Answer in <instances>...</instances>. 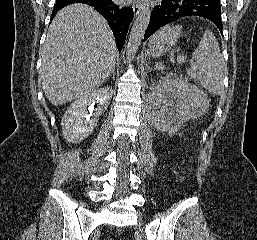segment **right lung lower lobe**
I'll list each match as a JSON object with an SVG mask.
<instances>
[{"mask_svg": "<svg viewBox=\"0 0 257 240\" xmlns=\"http://www.w3.org/2000/svg\"><path fill=\"white\" fill-rule=\"evenodd\" d=\"M73 3L93 6L109 23L119 52L121 51L129 25L134 17L131 7L121 6L113 0H57L52 11V18L63 7Z\"/></svg>", "mask_w": 257, "mask_h": 240, "instance_id": "98d812e1", "label": "right lung lower lobe"}]
</instances>
